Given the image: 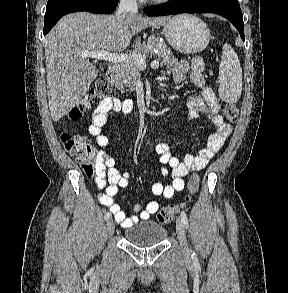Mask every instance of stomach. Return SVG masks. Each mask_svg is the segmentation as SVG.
Returning <instances> with one entry per match:
<instances>
[{
	"label": "stomach",
	"mask_w": 288,
	"mask_h": 293,
	"mask_svg": "<svg viewBox=\"0 0 288 293\" xmlns=\"http://www.w3.org/2000/svg\"><path fill=\"white\" fill-rule=\"evenodd\" d=\"M163 34L167 42L177 51L197 54L210 42V30L206 23L194 15L182 14L163 23Z\"/></svg>",
	"instance_id": "obj_1"
}]
</instances>
